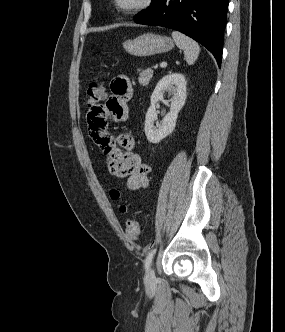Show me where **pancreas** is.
Wrapping results in <instances>:
<instances>
[{
    "label": "pancreas",
    "instance_id": "obj_1",
    "mask_svg": "<svg viewBox=\"0 0 285 332\" xmlns=\"http://www.w3.org/2000/svg\"><path fill=\"white\" fill-rule=\"evenodd\" d=\"M139 72V83L143 86H146L149 84L153 77V71L152 69H147V70H138Z\"/></svg>",
    "mask_w": 285,
    "mask_h": 332
}]
</instances>
